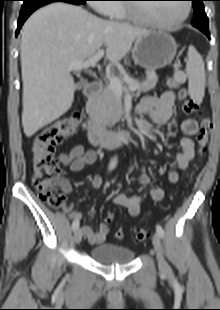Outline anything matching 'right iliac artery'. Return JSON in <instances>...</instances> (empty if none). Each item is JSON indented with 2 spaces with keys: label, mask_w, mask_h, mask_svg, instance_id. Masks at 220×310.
<instances>
[{
  "label": "right iliac artery",
  "mask_w": 220,
  "mask_h": 310,
  "mask_svg": "<svg viewBox=\"0 0 220 310\" xmlns=\"http://www.w3.org/2000/svg\"><path fill=\"white\" fill-rule=\"evenodd\" d=\"M116 163H117V158L115 157V158H113V160L110 163L109 170H112L116 166ZM78 227H79V220L73 221L72 229L74 231H76L78 229Z\"/></svg>",
  "instance_id": "right-iliac-artery-1"
}]
</instances>
